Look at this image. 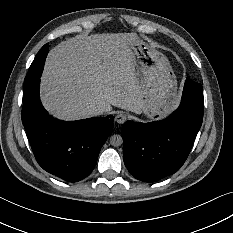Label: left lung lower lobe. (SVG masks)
<instances>
[{
  "label": "left lung lower lobe",
  "instance_id": "0a47b994",
  "mask_svg": "<svg viewBox=\"0 0 233 233\" xmlns=\"http://www.w3.org/2000/svg\"><path fill=\"white\" fill-rule=\"evenodd\" d=\"M203 87L187 78L180 106L166 119L147 124L126 121L123 159L138 180L155 182L186 161L203 120Z\"/></svg>",
  "mask_w": 233,
  "mask_h": 233
}]
</instances>
